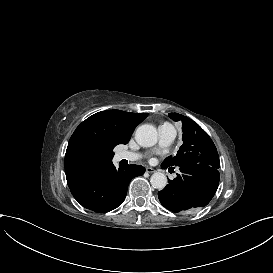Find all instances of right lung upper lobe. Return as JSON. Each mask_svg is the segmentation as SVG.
<instances>
[{"label":"right lung upper lobe","mask_w":273,"mask_h":273,"mask_svg":"<svg viewBox=\"0 0 273 273\" xmlns=\"http://www.w3.org/2000/svg\"><path fill=\"white\" fill-rule=\"evenodd\" d=\"M147 113L106 110L84 120L72 134L65 154L69 188L112 163L113 148L126 144Z\"/></svg>","instance_id":"1"}]
</instances>
